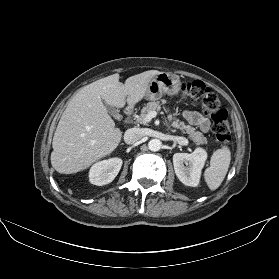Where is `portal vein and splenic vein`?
I'll use <instances>...</instances> for the list:
<instances>
[{
  "instance_id": "obj_1",
  "label": "portal vein and splenic vein",
  "mask_w": 279,
  "mask_h": 279,
  "mask_svg": "<svg viewBox=\"0 0 279 279\" xmlns=\"http://www.w3.org/2000/svg\"><path fill=\"white\" fill-rule=\"evenodd\" d=\"M156 115H157V112H155V111H150V112L146 115V117H145V119H144V123L146 124V123L150 122L153 118L156 117Z\"/></svg>"
}]
</instances>
